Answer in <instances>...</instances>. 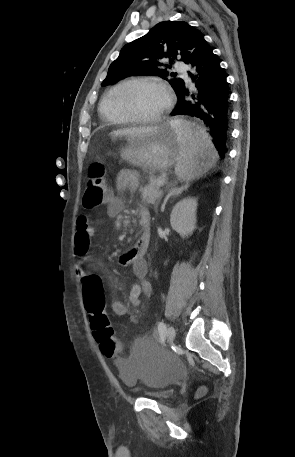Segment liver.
Wrapping results in <instances>:
<instances>
[{
	"mask_svg": "<svg viewBox=\"0 0 295 457\" xmlns=\"http://www.w3.org/2000/svg\"><path fill=\"white\" fill-rule=\"evenodd\" d=\"M158 128L159 126L124 128L111 132V135L113 137L125 136L128 140H134L137 138H142L146 135H150L151 133L155 132Z\"/></svg>",
	"mask_w": 295,
	"mask_h": 457,
	"instance_id": "1",
	"label": "liver"
}]
</instances>
